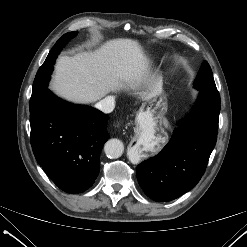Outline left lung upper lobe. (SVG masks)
Here are the masks:
<instances>
[{"label": "left lung upper lobe", "instance_id": "1", "mask_svg": "<svg viewBox=\"0 0 247 247\" xmlns=\"http://www.w3.org/2000/svg\"><path fill=\"white\" fill-rule=\"evenodd\" d=\"M194 87L211 96H214L215 98H220L219 92L214 82L212 70L206 61H204L201 65V68L194 81Z\"/></svg>", "mask_w": 247, "mask_h": 247}]
</instances>
